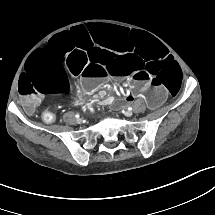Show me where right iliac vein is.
I'll return each mask as SVG.
<instances>
[{"instance_id":"63e3f726","label":"right iliac vein","mask_w":215,"mask_h":215,"mask_svg":"<svg viewBox=\"0 0 215 215\" xmlns=\"http://www.w3.org/2000/svg\"><path fill=\"white\" fill-rule=\"evenodd\" d=\"M81 122H82V120H81V119H78V120H77V123H81Z\"/></svg>"}]
</instances>
